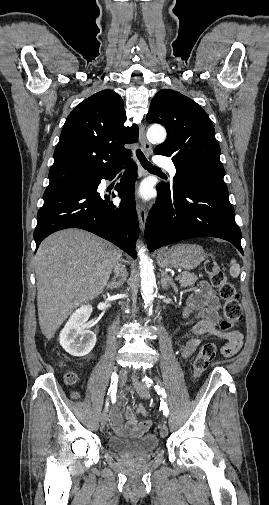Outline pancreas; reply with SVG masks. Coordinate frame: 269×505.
<instances>
[{"mask_svg": "<svg viewBox=\"0 0 269 505\" xmlns=\"http://www.w3.org/2000/svg\"><path fill=\"white\" fill-rule=\"evenodd\" d=\"M197 281V276L193 273L184 272L179 280L181 287L193 286Z\"/></svg>", "mask_w": 269, "mask_h": 505, "instance_id": "pancreas-1", "label": "pancreas"}]
</instances>
